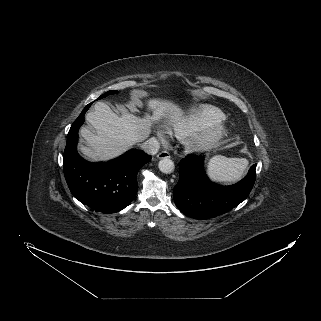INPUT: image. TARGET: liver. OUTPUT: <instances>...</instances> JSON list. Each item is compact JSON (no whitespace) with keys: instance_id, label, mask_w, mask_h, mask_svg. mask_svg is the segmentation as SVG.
Segmentation results:
<instances>
[{"instance_id":"6515ba94","label":"liver","mask_w":321,"mask_h":321,"mask_svg":"<svg viewBox=\"0 0 321 321\" xmlns=\"http://www.w3.org/2000/svg\"><path fill=\"white\" fill-rule=\"evenodd\" d=\"M147 111L143 118L127 110L122 115L115 114L108 105L97 102L94 110L86 115L87 121L95 133L86 127L80 129L85 145H80V152L92 161H106L115 158L134 144L145 140L154 124L166 116L178 118L183 115L181 108L173 101L159 98L145 100Z\"/></svg>"}]
</instances>
